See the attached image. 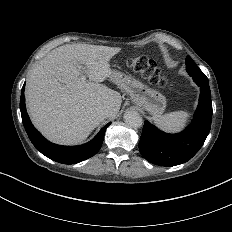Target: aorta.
<instances>
[{"label":"aorta","mask_w":232,"mask_h":232,"mask_svg":"<svg viewBox=\"0 0 232 232\" xmlns=\"http://www.w3.org/2000/svg\"><path fill=\"white\" fill-rule=\"evenodd\" d=\"M125 123L132 128H140L143 124L141 115L136 111H127L124 114Z\"/></svg>","instance_id":"1"}]
</instances>
